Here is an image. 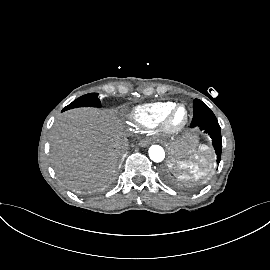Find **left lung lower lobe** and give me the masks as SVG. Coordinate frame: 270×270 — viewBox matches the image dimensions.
Returning a JSON list of instances; mask_svg holds the SVG:
<instances>
[{
    "instance_id": "0a47b994",
    "label": "left lung lower lobe",
    "mask_w": 270,
    "mask_h": 270,
    "mask_svg": "<svg viewBox=\"0 0 270 270\" xmlns=\"http://www.w3.org/2000/svg\"><path fill=\"white\" fill-rule=\"evenodd\" d=\"M199 127L204 130L211 139L212 143L217 155V163L220 162L221 159V151H222V138H221V130L217 120L205 121L196 126L191 125V128Z\"/></svg>"
}]
</instances>
